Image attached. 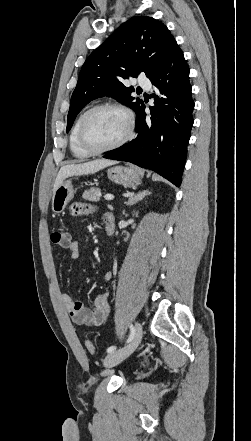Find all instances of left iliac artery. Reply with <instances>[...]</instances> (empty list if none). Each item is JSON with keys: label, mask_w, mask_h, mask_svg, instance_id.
Returning a JSON list of instances; mask_svg holds the SVG:
<instances>
[{"label": "left iliac artery", "mask_w": 251, "mask_h": 441, "mask_svg": "<svg viewBox=\"0 0 251 441\" xmlns=\"http://www.w3.org/2000/svg\"><path fill=\"white\" fill-rule=\"evenodd\" d=\"M129 327H130V336L127 339V343L131 342L133 340V338H134V335H135V329H134L133 325L131 324ZM114 350H116V346H110L107 349V353H111Z\"/></svg>", "instance_id": "44dca946"}]
</instances>
